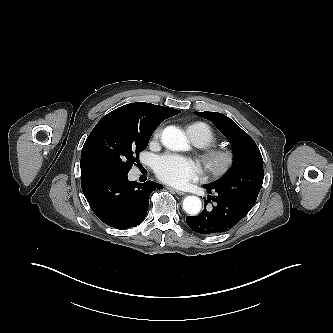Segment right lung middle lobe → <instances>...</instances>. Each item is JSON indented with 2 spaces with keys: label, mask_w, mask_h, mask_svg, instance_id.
<instances>
[{
  "label": "right lung middle lobe",
  "mask_w": 333,
  "mask_h": 333,
  "mask_svg": "<svg viewBox=\"0 0 333 333\" xmlns=\"http://www.w3.org/2000/svg\"><path fill=\"white\" fill-rule=\"evenodd\" d=\"M157 127L139 126L122 116H104L86 139L81 152V173L127 174L146 149Z\"/></svg>",
  "instance_id": "dd1d6c3e"
}]
</instances>
